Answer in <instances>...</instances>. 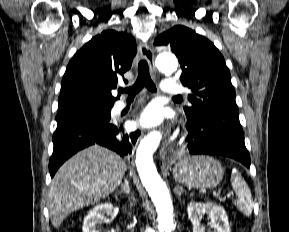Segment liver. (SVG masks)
<instances>
[{
  "mask_svg": "<svg viewBox=\"0 0 289 232\" xmlns=\"http://www.w3.org/2000/svg\"><path fill=\"white\" fill-rule=\"evenodd\" d=\"M126 169L125 159L98 145L67 160L55 174L49 189L52 225L58 229L73 211L108 197L121 183Z\"/></svg>",
  "mask_w": 289,
  "mask_h": 232,
  "instance_id": "obj_1",
  "label": "liver"
}]
</instances>
